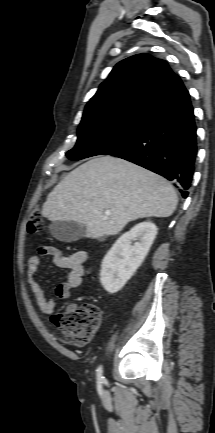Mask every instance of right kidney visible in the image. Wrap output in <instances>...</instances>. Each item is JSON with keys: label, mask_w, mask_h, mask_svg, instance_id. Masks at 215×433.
<instances>
[{"label": "right kidney", "mask_w": 215, "mask_h": 433, "mask_svg": "<svg viewBox=\"0 0 215 433\" xmlns=\"http://www.w3.org/2000/svg\"><path fill=\"white\" fill-rule=\"evenodd\" d=\"M157 234L150 221L135 225L114 243L101 265L100 281L109 293H116L143 262ZM137 242L132 245V241Z\"/></svg>", "instance_id": "1"}]
</instances>
